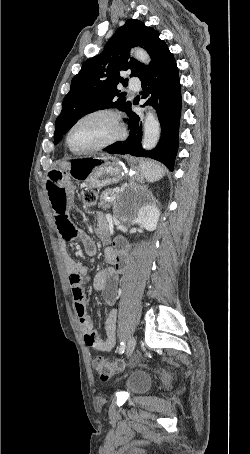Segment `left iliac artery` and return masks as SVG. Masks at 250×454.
<instances>
[{
    "label": "left iliac artery",
    "instance_id": "left-iliac-artery-1",
    "mask_svg": "<svg viewBox=\"0 0 250 454\" xmlns=\"http://www.w3.org/2000/svg\"><path fill=\"white\" fill-rule=\"evenodd\" d=\"M125 350V343L123 341L120 342L119 353H124Z\"/></svg>",
    "mask_w": 250,
    "mask_h": 454
}]
</instances>
